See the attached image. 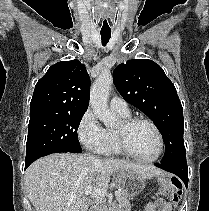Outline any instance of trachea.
I'll use <instances>...</instances> for the list:
<instances>
[{
  "label": "trachea",
  "instance_id": "obj_1",
  "mask_svg": "<svg viewBox=\"0 0 209 211\" xmlns=\"http://www.w3.org/2000/svg\"><path fill=\"white\" fill-rule=\"evenodd\" d=\"M111 38V31H101V40L103 46H105Z\"/></svg>",
  "mask_w": 209,
  "mask_h": 211
}]
</instances>
